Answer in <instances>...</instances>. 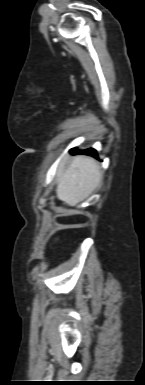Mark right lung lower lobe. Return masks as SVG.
Wrapping results in <instances>:
<instances>
[{"mask_svg": "<svg viewBox=\"0 0 145 385\" xmlns=\"http://www.w3.org/2000/svg\"><path fill=\"white\" fill-rule=\"evenodd\" d=\"M72 153L73 154H87V155H90V156H93V157H97V152L94 150V149H87V150H84V151H79L77 150V148H74L72 150Z\"/></svg>", "mask_w": 145, "mask_h": 385, "instance_id": "1", "label": "right lung lower lobe"}]
</instances>
